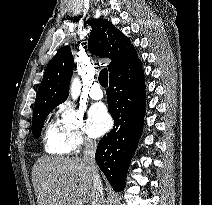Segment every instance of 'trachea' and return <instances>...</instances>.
I'll list each match as a JSON object with an SVG mask.
<instances>
[{
	"label": "trachea",
	"mask_w": 212,
	"mask_h": 205,
	"mask_svg": "<svg viewBox=\"0 0 212 205\" xmlns=\"http://www.w3.org/2000/svg\"><path fill=\"white\" fill-rule=\"evenodd\" d=\"M98 79L101 86L106 88L108 86V70L102 69L99 73Z\"/></svg>",
	"instance_id": "3493384b"
}]
</instances>
